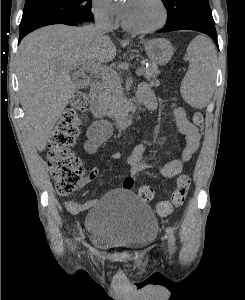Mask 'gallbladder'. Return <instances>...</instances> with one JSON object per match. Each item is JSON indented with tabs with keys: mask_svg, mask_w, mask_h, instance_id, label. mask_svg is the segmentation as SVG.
Returning <instances> with one entry per match:
<instances>
[{
	"mask_svg": "<svg viewBox=\"0 0 245 300\" xmlns=\"http://www.w3.org/2000/svg\"><path fill=\"white\" fill-rule=\"evenodd\" d=\"M85 84H86V82L83 81V80L76 81V85H77L78 88L84 87Z\"/></svg>",
	"mask_w": 245,
	"mask_h": 300,
	"instance_id": "1",
	"label": "gallbladder"
}]
</instances>
